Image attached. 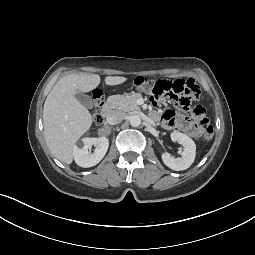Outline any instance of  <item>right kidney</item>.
Returning <instances> with one entry per match:
<instances>
[{"mask_svg": "<svg viewBox=\"0 0 255 255\" xmlns=\"http://www.w3.org/2000/svg\"><path fill=\"white\" fill-rule=\"evenodd\" d=\"M95 146L93 153L88 149ZM109 147V141L106 137L99 138H83L74 145L73 156L76 164L80 167L88 168L98 164L105 156Z\"/></svg>", "mask_w": 255, "mask_h": 255, "instance_id": "obj_1", "label": "right kidney"}]
</instances>
